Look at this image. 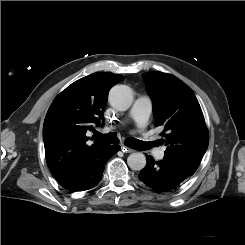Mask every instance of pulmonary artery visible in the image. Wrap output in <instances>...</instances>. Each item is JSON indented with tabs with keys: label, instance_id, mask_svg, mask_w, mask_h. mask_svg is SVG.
Here are the masks:
<instances>
[{
	"label": "pulmonary artery",
	"instance_id": "e3ab8cb5",
	"mask_svg": "<svg viewBox=\"0 0 245 245\" xmlns=\"http://www.w3.org/2000/svg\"><path fill=\"white\" fill-rule=\"evenodd\" d=\"M151 112V99L148 96H140L133 103L128 115L135 122L138 129L143 131L147 127ZM153 154L157 159L162 160L165 149L163 147L155 148Z\"/></svg>",
	"mask_w": 245,
	"mask_h": 245
}]
</instances>
